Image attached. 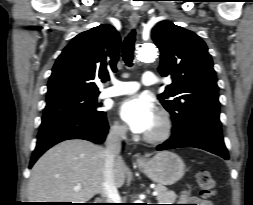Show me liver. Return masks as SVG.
<instances>
[{"mask_svg":"<svg viewBox=\"0 0 253 205\" xmlns=\"http://www.w3.org/2000/svg\"><path fill=\"white\" fill-rule=\"evenodd\" d=\"M103 150L89 141L77 139L63 141L49 149L31 170L29 200L86 203L101 193L104 182ZM126 172L123 159L116 158L114 179L117 187L123 186ZM77 184H81V189L75 191Z\"/></svg>","mask_w":253,"mask_h":205,"instance_id":"liver-1","label":"liver"}]
</instances>
